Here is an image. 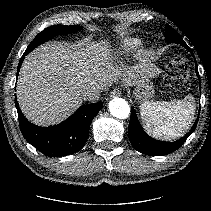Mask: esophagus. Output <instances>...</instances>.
Returning <instances> with one entry per match:
<instances>
[{
    "label": "esophagus",
    "instance_id": "obj_1",
    "mask_svg": "<svg viewBox=\"0 0 211 211\" xmlns=\"http://www.w3.org/2000/svg\"><path fill=\"white\" fill-rule=\"evenodd\" d=\"M120 94H121V91L117 88L111 91L110 97H117V96H120Z\"/></svg>",
    "mask_w": 211,
    "mask_h": 211
}]
</instances>
